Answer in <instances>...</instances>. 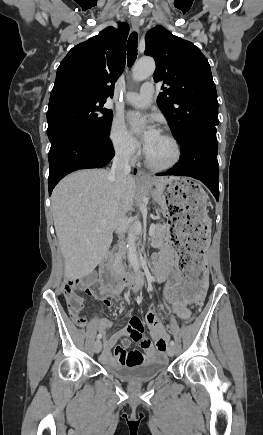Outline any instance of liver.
<instances>
[{
  "label": "liver",
  "instance_id": "6515ba94",
  "mask_svg": "<svg viewBox=\"0 0 263 435\" xmlns=\"http://www.w3.org/2000/svg\"><path fill=\"white\" fill-rule=\"evenodd\" d=\"M108 175L104 169L77 171L53 190L54 226L68 280L81 279L96 268L111 246L114 230L123 227L132 208L135 178L127 176L119 194Z\"/></svg>",
  "mask_w": 263,
  "mask_h": 435
}]
</instances>
